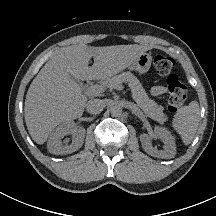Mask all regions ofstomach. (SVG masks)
I'll return each instance as SVG.
<instances>
[{
  "label": "stomach",
  "mask_w": 216,
  "mask_h": 216,
  "mask_svg": "<svg viewBox=\"0 0 216 216\" xmlns=\"http://www.w3.org/2000/svg\"><path fill=\"white\" fill-rule=\"evenodd\" d=\"M151 63H152V56L149 53H142L130 65V69L136 70L140 74H144L150 69Z\"/></svg>",
  "instance_id": "obj_1"
}]
</instances>
